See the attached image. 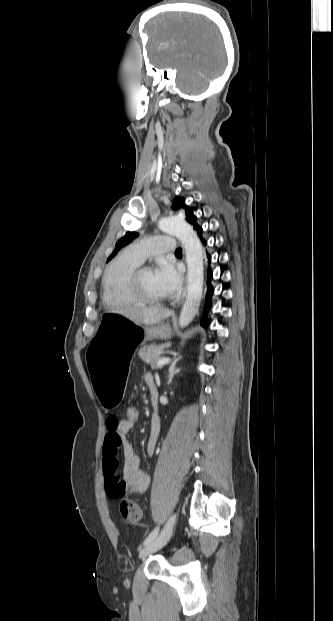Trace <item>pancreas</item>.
Here are the masks:
<instances>
[{
  "instance_id": "1",
  "label": "pancreas",
  "mask_w": 333,
  "mask_h": 621,
  "mask_svg": "<svg viewBox=\"0 0 333 621\" xmlns=\"http://www.w3.org/2000/svg\"><path fill=\"white\" fill-rule=\"evenodd\" d=\"M170 344H162V345H148L140 348L138 354L139 357L145 362L150 364H156V362L160 359V356L165 352V348H169Z\"/></svg>"
}]
</instances>
